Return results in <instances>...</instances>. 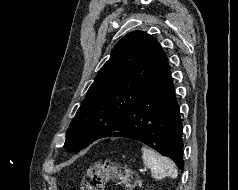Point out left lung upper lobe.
Here are the masks:
<instances>
[{
    "label": "left lung upper lobe",
    "mask_w": 238,
    "mask_h": 190,
    "mask_svg": "<svg viewBox=\"0 0 238 190\" xmlns=\"http://www.w3.org/2000/svg\"><path fill=\"white\" fill-rule=\"evenodd\" d=\"M167 66L166 54L151 35L132 31L124 36L70 123L64 148L78 151L108 134Z\"/></svg>",
    "instance_id": "obj_1"
}]
</instances>
